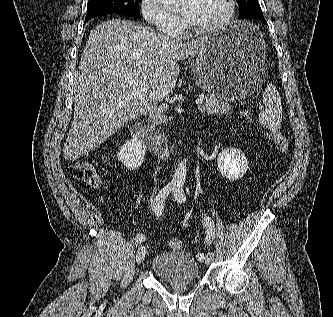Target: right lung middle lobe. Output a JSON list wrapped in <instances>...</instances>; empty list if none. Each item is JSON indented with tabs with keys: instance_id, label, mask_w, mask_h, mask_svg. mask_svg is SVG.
<instances>
[{
	"instance_id": "1",
	"label": "right lung middle lobe",
	"mask_w": 333,
	"mask_h": 317,
	"mask_svg": "<svg viewBox=\"0 0 333 317\" xmlns=\"http://www.w3.org/2000/svg\"><path fill=\"white\" fill-rule=\"evenodd\" d=\"M140 1L141 0H89L86 20L109 13L139 18Z\"/></svg>"
}]
</instances>
